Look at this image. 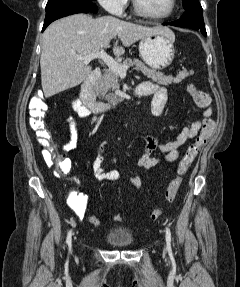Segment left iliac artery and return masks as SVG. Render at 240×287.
Wrapping results in <instances>:
<instances>
[{
  "mask_svg": "<svg viewBox=\"0 0 240 287\" xmlns=\"http://www.w3.org/2000/svg\"><path fill=\"white\" fill-rule=\"evenodd\" d=\"M166 242H167V245L170 246V243H171V231H170V229L168 227L166 228Z\"/></svg>",
  "mask_w": 240,
  "mask_h": 287,
  "instance_id": "44dca946",
  "label": "left iliac artery"
}]
</instances>
